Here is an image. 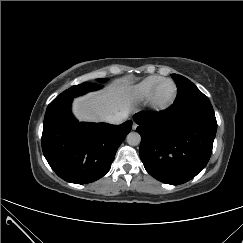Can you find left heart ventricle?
Segmentation results:
<instances>
[{"label": "left heart ventricle", "instance_id": "1", "mask_svg": "<svg viewBox=\"0 0 243 243\" xmlns=\"http://www.w3.org/2000/svg\"><path fill=\"white\" fill-rule=\"evenodd\" d=\"M173 94H174L173 84L168 82L162 85L161 88L159 89L157 99L160 102H166L169 99H171Z\"/></svg>", "mask_w": 243, "mask_h": 243}]
</instances>
